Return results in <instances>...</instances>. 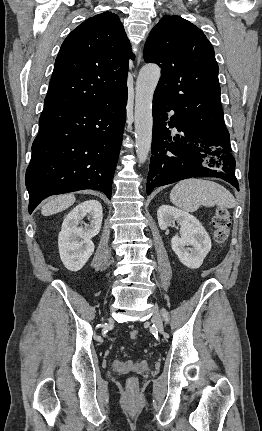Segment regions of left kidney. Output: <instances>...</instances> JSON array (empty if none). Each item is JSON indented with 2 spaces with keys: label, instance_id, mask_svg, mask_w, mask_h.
Segmentation results:
<instances>
[{
  "label": "left kidney",
  "instance_id": "obj_1",
  "mask_svg": "<svg viewBox=\"0 0 262 431\" xmlns=\"http://www.w3.org/2000/svg\"><path fill=\"white\" fill-rule=\"evenodd\" d=\"M157 218L162 230L173 226L175 222L180 225L181 237L174 236L171 239L172 249L185 266L191 269L199 268L211 249V239L199 220L169 205L159 207Z\"/></svg>",
  "mask_w": 262,
  "mask_h": 431
}]
</instances>
